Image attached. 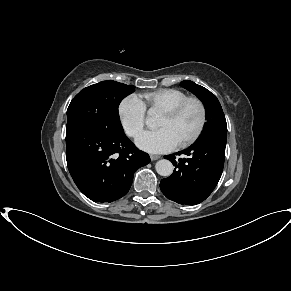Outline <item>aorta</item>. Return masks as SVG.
<instances>
[{
    "instance_id": "1",
    "label": "aorta",
    "mask_w": 291,
    "mask_h": 291,
    "mask_svg": "<svg viewBox=\"0 0 291 291\" xmlns=\"http://www.w3.org/2000/svg\"><path fill=\"white\" fill-rule=\"evenodd\" d=\"M146 125L150 128H153L156 126V118L153 110L148 111V115L146 118ZM156 172L164 177H169L173 173V164L167 160V159H162L157 161L155 165Z\"/></svg>"
}]
</instances>
